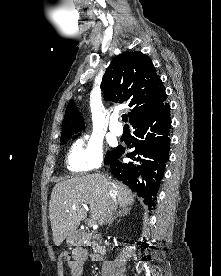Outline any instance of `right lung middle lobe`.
<instances>
[{
	"label": "right lung middle lobe",
	"instance_id": "1",
	"mask_svg": "<svg viewBox=\"0 0 221 276\" xmlns=\"http://www.w3.org/2000/svg\"><path fill=\"white\" fill-rule=\"evenodd\" d=\"M67 141L68 140L61 141V144H65ZM114 151H115V149L107 152L106 157H105V163L111 158V156L114 154Z\"/></svg>",
	"mask_w": 221,
	"mask_h": 276
}]
</instances>
